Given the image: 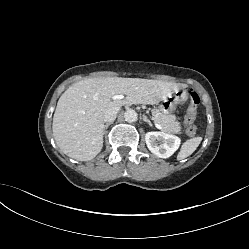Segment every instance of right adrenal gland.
<instances>
[{
  "label": "right adrenal gland",
  "mask_w": 249,
  "mask_h": 249,
  "mask_svg": "<svg viewBox=\"0 0 249 249\" xmlns=\"http://www.w3.org/2000/svg\"><path fill=\"white\" fill-rule=\"evenodd\" d=\"M111 124H112V122H109V123H106V124L104 125V134L106 133L107 128H108L109 125H111Z\"/></svg>",
  "instance_id": "2a0ac1e0"
}]
</instances>
